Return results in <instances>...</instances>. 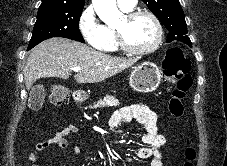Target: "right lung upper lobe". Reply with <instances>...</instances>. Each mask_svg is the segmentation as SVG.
<instances>
[{"mask_svg": "<svg viewBox=\"0 0 227 166\" xmlns=\"http://www.w3.org/2000/svg\"><path fill=\"white\" fill-rule=\"evenodd\" d=\"M84 3L85 0H42L39 8L56 7L83 9Z\"/></svg>", "mask_w": 227, "mask_h": 166, "instance_id": "1", "label": "right lung upper lobe"}]
</instances>
